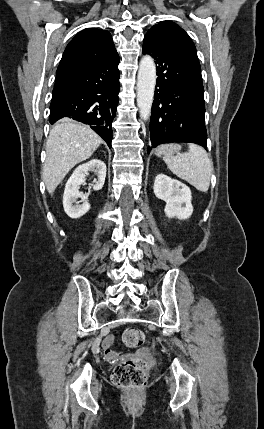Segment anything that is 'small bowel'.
<instances>
[{"label": "small bowel", "mask_w": 264, "mask_h": 429, "mask_svg": "<svg viewBox=\"0 0 264 429\" xmlns=\"http://www.w3.org/2000/svg\"><path fill=\"white\" fill-rule=\"evenodd\" d=\"M114 342V337L112 335L107 336L104 341H103V348L105 350V354L109 359H117L120 357V354H118L117 352H115L114 350H112V344ZM137 355H144L143 351H140L137 353ZM131 355L126 354V355H122V357L126 358V357H130Z\"/></svg>", "instance_id": "c3829d8e"}]
</instances>
